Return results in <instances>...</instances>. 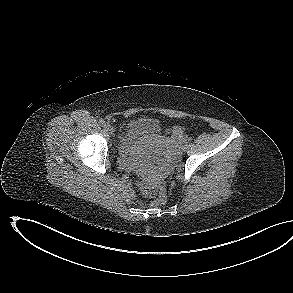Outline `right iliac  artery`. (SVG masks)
Segmentation results:
<instances>
[{
  "label": "right iliac artery",
  "instance_id": "82829eb1",
  "mask_svg": "<svg viewBox=\"0 0 293 293\" xmlns=\"http://www.w3.org/2000/svg\"><path fill=\"white\" fill-rule=\"evenodd\" d=\"M99 123H100L101 126H105L106 125V123H105V121L103 119H100L99 120Z\"/></svg>",
  "mask_w": 293,
  "mask_h": 293
}]
</instances>
